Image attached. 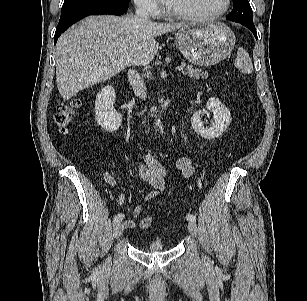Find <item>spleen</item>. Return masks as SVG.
<instances>
[{
    "label": "spleen",
    "instance_id": "1",
    "mask_svg": "<svg viewBox=\"0 0 307 301\" xmlns=\"http://www.w3.org/2000/svg\"><path fill=\"white\" fill-rule=\"evenodd\" d=\"M235 66L243 73V74H251L253 71L252 60L248 54V52L240 47L237 51V58L235 61Z\"/></svg>",
    "mask_w": 307,
    "mask_h": 301
}]
</instances>
